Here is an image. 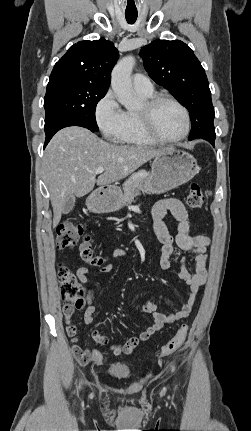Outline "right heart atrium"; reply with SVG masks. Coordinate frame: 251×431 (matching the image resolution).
<instances>
[{
  "instance_id": "1",
  "label": "right heart atrium",
  "mask_w": 251,
  "mask_h": 431,
  "mask_svg": "<svg viewBox=\"0 0 251 431\" xmlns=\"http://www.w3.org/2000/svg\"><path fill=\"white\" fill-rule=\"evenodd\" d=\"M94 116L98 128L108 139H116L125 127L126 112L111 90L96 103Z\"/></svg>"
}]
</instances>
